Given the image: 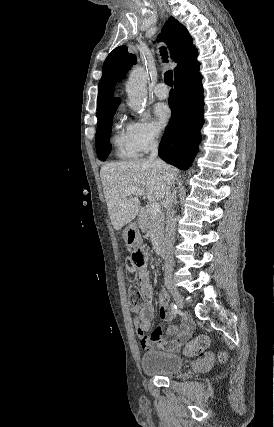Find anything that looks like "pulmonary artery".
Instances as JSON below:
<instances>
[{"label": "pulmonary artery", "mask_w": 274, "mask_h": 427, "mask_svg": "<svg viewBox=\"0 0 274 427\" xmlns=\"http://www.w3.org/2000/svg\"><path fill=\"white\" fill-rule=\"evenodd\" d=\"M154 94L160 99H166L169 96V88L164 83H159L153 88Z\"/></svg>", "instance_id": "e3ab8cb5"}]
</instances>
